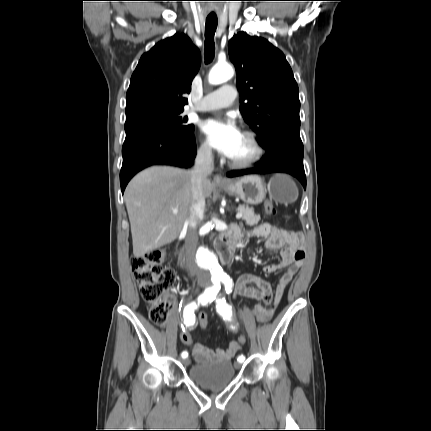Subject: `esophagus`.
<instances>
[{"label": "esophagus", "instance_id": "esophagus-1", "mask_svg": "<svg viewBox=\"0 0 431 431\" xmlns=\"http://www.w3.org/2000/svg\"><path fill=\"white\" fill-rule=\"evenodd\" d=\"M213 180L215 183H218V184H228L229 183V180L224 178L221 174H215L213 176Z\"/></svg>", "mask_w": 431, "mask_h": 431}]
</instances>
